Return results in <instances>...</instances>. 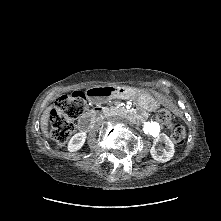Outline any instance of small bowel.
<instances>
[{"label":"small bowel","mask_w":221,"mask_h":221,"mask_svg":"<svg viewBox=\"0 0 221 221\" xmlns=\"http://www.w3.org/2000/svg\"><path fill=\"white\" fill-rule=\"evenodd\" d=\"M164 102H165V103H170V102H171V99L168 98V97H165V98H164Z\"/></svg>","instance_id":"obj_1"}]
</instances>
